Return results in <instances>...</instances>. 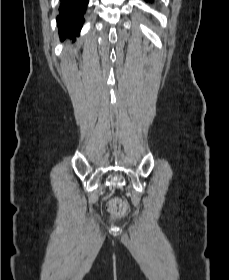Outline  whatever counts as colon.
<instances>
[{"instance_id": "colon-1", "label": "colon", "mask_w": 229, "mask_h": 280, "mask_svg": "<svg viewBox=\"0 0 229 280\" xmlns=\"http://www.w3.org/2000/svg\"><path fill=\"white\" fill-rule=\"evenodd\" d=\"M109 209L117 216H125L128 213L127 203L118 197H114L109 201Z\"/></svg>"}]
</instances>
